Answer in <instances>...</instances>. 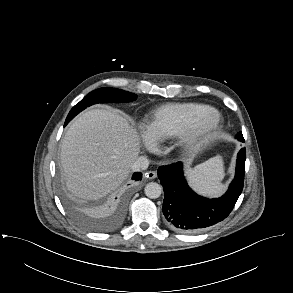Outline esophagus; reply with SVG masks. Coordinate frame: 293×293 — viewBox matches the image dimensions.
Listing matches in <instances>:
<instances>
[{"label":"esophagus","instance_id":"obj_1","mask_svg":"<svg viewBox=\"0 0 293 293\" xmlns=\"http://www.w3.org/2000/svg\"><path fill=\"white\" fill-rule=\"evenodd\" d=\"M144 176L148 179H155L157 177V173L155 171H148L144 174Z\"/></svg>","mask_w":293,"mask_h":293}]
</instances>
